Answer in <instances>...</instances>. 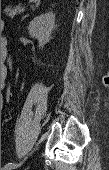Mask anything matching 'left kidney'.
I'll list each match as a JSON object with an SVG mask.
<instances>
[{"mask_svg": "<svg viewBox=\"0 0 109 170\" xmlns=\"http://www.w3.org/2000/svg\"><path fill=\"white\" fill-rule=\"evenodd\" d=\"M55 24V15L52 12L41 14L35 17L28 26L29 34L38 39L39 47L47 44Z\"/></svg>", "mask_w": 109, "mask_h": 170, "instance_id": "obj_1", "label": "left kidney"}]
</instances>
